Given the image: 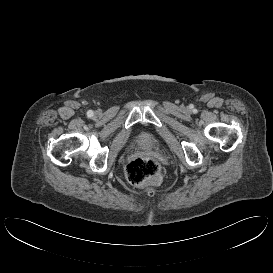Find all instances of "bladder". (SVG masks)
Segmentation results:
<instances>
[{"mask_svg":"<svg viewBox=\"0 0 273 273\" xmlns=\"http://www.w3.org/2000/svg\"><path fill=\"white\" fill-rule=\"evenodd\" d=\"M141 141L144 144H149L151 142L150 139H148V138H142Z\"/></svg>","mask_w":273,"mask_h":273,"instance_id":"1","label":"bladder"}]
</instances>
